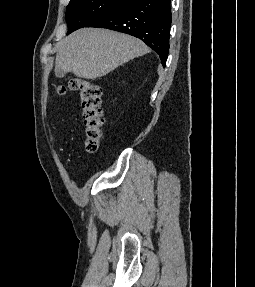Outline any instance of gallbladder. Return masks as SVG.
Wrapping results in <instances>:
<instances>
[{
  "mask_svg": "<svg viewBox=\"0 0 255 287\" xmlns=\"http://www.w3.org/2000/svg\"><path fill=\"white\" fill-rule=\"evenodd\" d=\"M67 72L65 70H61V68H55V76L56 78H64L66 76Z\"/></svg>",
  "mask_w": 255,
  "mask_h": 287,
  "instance_id": "bac80fb5",
  "label": "gallbladder"
}]
</instances>
